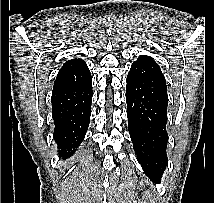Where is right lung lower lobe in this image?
<instances>
[{
  "instance_id": "obj_1",
  "label": "right lung lower lobe",
  "mask_w": 214,
  "mask_h": 203,
  "mask_svg": "<svg viewBox=\"0 0 214 203\" xmlns=\"http://www.w3.org/2000/svg\"><path fill=\"white\" fill-rule=\"evenodd\" d=\"M92 78L86 63L57 75L51 97L54 140L67 159L83 142L90 123Z\"/></svg>"
}]
</instances>
